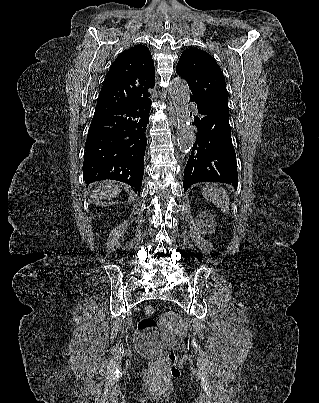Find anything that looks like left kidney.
I'll return each instance as SVG.
<instances>
[{
    "label": "left kidney",
    "mask_w": 319,
    "mask_h": 403,
    "mask_svg": "<svg viewBox=\"0 0 319 403\" xmlns=\"http://www.w3.org/2000/svg\"><path fill=\"white\" fill-rule=\"evenodd\" d=\"M200 218H203V219L209 218V220H212V219H213L212 215H208V214H206V213L201 214V215H200Z\"/></svg>",
    "instance_id": "obj_1"
}]
</instances>
